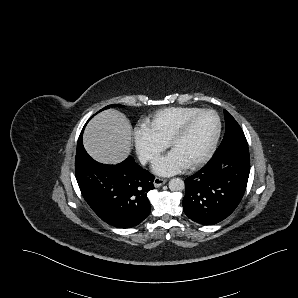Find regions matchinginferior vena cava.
<instances>
[{
    "instance_id": "1",
    "label": "inferior vena cava",
    "mask_w": 298,
    "mask_h": 298,
    "mask_svg": "<svg viewBox=\"0 0 298 298\" xmlns=\"http://www.w3.org/2000/svg\"><path fill=\"white\" fill-rule=\"evenodd\" d=\"M154 155L149 154V153H142L139 156L140 162L142 165H146L147 162L153 160Z\"/></svg>"
}]
</instances>
